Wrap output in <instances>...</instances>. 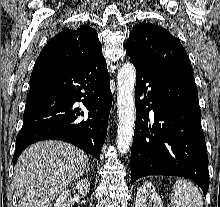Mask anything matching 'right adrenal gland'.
Listing matches in <instances>:
<instances>
[{
	"instance_id": "2a0ac1e0",
	"label": "right adrenal gland",
	"mask_w": 220,
	"mask_h": 207,
	"mask_svg": "<svg viewBox=\"0 0 220 207\" xmlns=\"http://www.w3.org/2000/svg\"><path fill=\"white\" fill-rule=\"evenodd\" d=\"M88 171H89V170L87 169V170H86V173H87V174H88Z\"/></svg>"
}]
</instances>
